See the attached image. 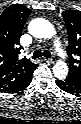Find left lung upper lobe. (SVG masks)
<instances>
[{
    "label": "left lung upper lobe",
    "mask_w": 81,
    "mask_h": 124,
    "mask_svg": "<svg viewBox=\"0 0 81 124\" xmlns=\"http://www.w3.org/2000/svg\"><path fill=\"white\" fill-rule=\"evenodd\" d=\"M63 18L68 30L69 73L67 78L81 84V11L66 10Z\"/></svg>",
    "instance_id": "obj_1"
}]
</instances>
